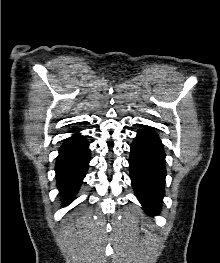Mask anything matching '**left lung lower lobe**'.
I'll use <instances>...</instances> for the list:
<instances>
[{
  "label": "left lung lower lobe",
  "mask_w": 220,
  "mask_h": 263,
  "mask_svg": "<svg viewBox=\"0 0 220 263\" xmlns=\"http://www.w3.org/2000/svg\"><path fill=\"white\" fill-rule=\"evenodd\" d=\"M165 152L151 127L140 130L131 145L130 177L135 194L149 215L161 210L166 176Z\"/></svg>",
  "instance_id": "1"
}]
</instances>
